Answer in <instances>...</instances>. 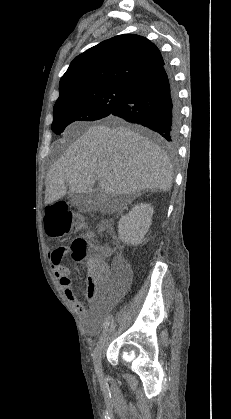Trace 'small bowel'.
Returning <instances> with one entry per match:
<instances>
[{
	"mask_svg": "<svg viewBox=\"0 0 231 419\" xmlns=\"http://www.w3.org/2000/svg\"><path fill=\"white\" fill-rule=\"evenodd\" d=\"M67 252V247H58L49 251L48 256L51 267L65 297L71 302L79 317L83 320L86 332L89 335H96L100 330L99 322L95 318L89 317L86 308L72 290V280L69 275V269L63 261ZM127 282L128 280L122 281L120 283V289H122ZM96 289V287H90L89 283L87 284L86 296L89 300L94 299Z\"/></svg>",
	"mask_w": 231,
	"mask_h": 419,
	"instance_id": "1",
	"label": "small bowel"
}]
</instances>
